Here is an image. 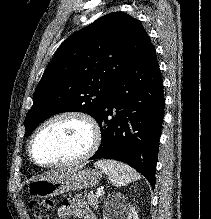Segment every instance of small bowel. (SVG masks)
Wrapping results in <instances>:
<instances>
[{
	"label": "small bowel",
	"instance_id": "small-bowel-1",
	"mask_svg": "<svg viewBox=\"0 0 211 219\" xmlns=\"http://www.w3.org/2000/svg\"><path fill=\"white\" fill-rule=\"evenodd\" d=\"M78 217L80 219H97L92 210L87 207L80 196L64 200L57 211L56 219H69Z\"/></svg>",
	"mask_w": 211,
	"mask_h": 219
}]
</instances>
